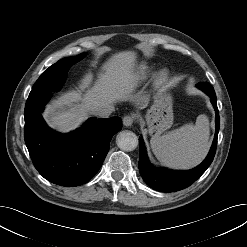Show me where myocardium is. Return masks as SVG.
I'll use <instances>...</instances> for the list:
<instances>
[{
    "label": "myocardium",
    "instance_id": "1",
    "mask_svg": "<svg viewBox=\"0 0 247 247\" xmlns=\"http://www.w3.org/2000/svg\"><path fill=\"white\" fill-rule=\"evenodd\" d=\"M170 79V72L167 69H162L156 76L155 85L164 87Z\"/></svg>",
    "mask_w": 247,
    "mask_h": 247
}]
</instances>
